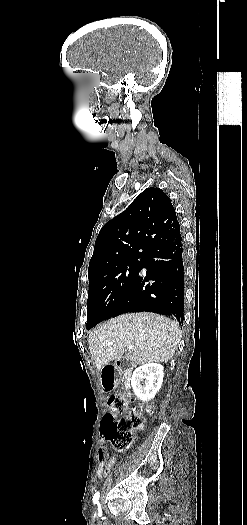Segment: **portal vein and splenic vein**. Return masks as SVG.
<instances>
[{
	"instance_id": "1",
	"label": "portal vein and splenic vein",
	"mask_w": 247,
	"mask_h": 525,
	"mask_svg": "<svg viewBox=\"0 0 247 525\" xmlns=\"http://www.w3.org/2000/svg\"><path fill=\"white\" fill-rule=\"evenodd\" d=\"M108 345H112V343H108ZM127 349H134L133 345H128Z\"/></svg>"
}]
</instances>
